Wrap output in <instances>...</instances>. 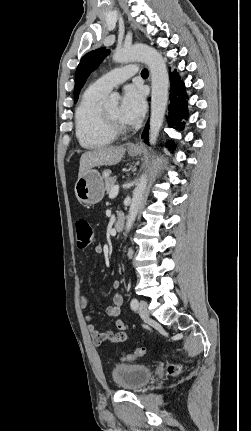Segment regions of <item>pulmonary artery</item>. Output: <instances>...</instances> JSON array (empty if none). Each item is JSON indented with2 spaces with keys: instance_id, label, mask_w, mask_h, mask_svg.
<instances>
[{
  "instance_id": "obj_1",
  "label": "pulmonary artery",
  "mask_w": 251,
  "mask_h": 431,
  "mask_svg": "<svg viewBox=\"0 0 251 431\" xmlns=\"http://www.w3.org/2000/svg\"><path fill=\"white\" fill-rule=\"evenodd\" d=\"M137 73L136 65L130 64L121 68L114 69L100 78L92 86L102 92L108 93L115 86L123 83L128 78Z\"/></svg>"
}]
</instances>
